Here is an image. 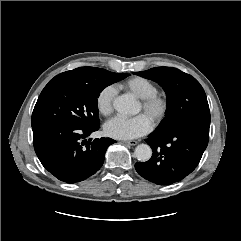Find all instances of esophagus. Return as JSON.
Segmentation results:
<instances>
[{"mask_svg":"<svg viewBox=\"0 0 241 241\" xmlns=\"http://www.w3.org/2000/svg\"><path fill=\"white\" fill-rule=\"evenodd\" d=\"M124 143H125V144H128V145H131V146H135V145H137V144H138V142H137V141H135V140H131V141H124Z\"/></svg>","mask_w":241,"mask_h":241,"instance_id":"34e87169","label":"esophagus"}]
</instances>
